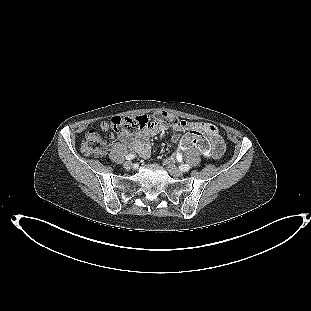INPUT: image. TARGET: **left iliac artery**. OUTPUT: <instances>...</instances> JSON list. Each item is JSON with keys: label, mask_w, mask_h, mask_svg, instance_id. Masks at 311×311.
<instances>
[{"label": "left iliac artery", "mask_w": 311, "mask_h": 311, "mask_svg": "<svg viewBox=\"0 0 311 311\" xmlns=\"http://www.w3.org/2000/svg\"><path fill=\"white\" fill-rule=\"evenodd\" d=\"M181 169H182L183 171H188V170L190 169V165H188V164L182 165V166H181Z\"/></svg>", "instance_id": "1"}]
</instances>
